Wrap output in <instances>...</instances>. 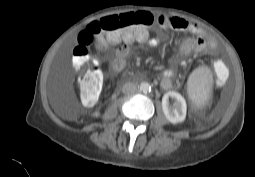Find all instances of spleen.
<instances>
[{
  "mask_svg": "<svg viewBox=\"0 0 255 177\" xmlns=\"http://www.w3.org/2000/svg\"><path fill=\"white\" fill-rule=\"evenodd\" d=\"M212 87V74L208 67H199L192 72L188 80V93L197 107L208 99Z\"/></svg>",
  "mask_w": 255,
  "mask_h": 177,
  "instance_id": "obj_1",
  "label": "spleen"
}]
</instances>
